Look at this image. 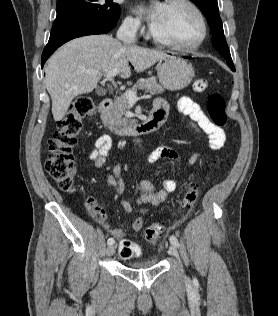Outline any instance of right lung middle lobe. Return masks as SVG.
<instances>
[{
  "mask_svg": "<svg viewBox=\"0 0 278 316\" xmlns=\"http://www.w3.org/2000/svg\"><path fill=\"white\" fill-rule=\"evenodd\" d=\"M120 7L113 0H58L52 31L92 21H118Z\"/></svg>",
  "mask_w": 278,
  "mask_h": 316,
  "instance_id": "dd1d6c3e",
  "label": "right lung middle lobe"
}]
</instances>
